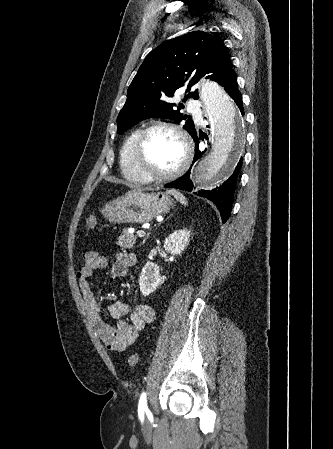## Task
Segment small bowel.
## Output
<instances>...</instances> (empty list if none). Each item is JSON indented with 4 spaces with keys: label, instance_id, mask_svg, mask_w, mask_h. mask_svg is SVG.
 I'll return each mask as SVG.
<instances>
[{
    "label": "small bowel",
    "instance_id": "small-bowel-1",
    "mask_svg": "<svg viewBox=\"0 0 333 449\" xmlns=\"http://www.w3.org/2000/svg\"><path fill=\"white\" fill-rule=\"evenodd\" d=\"M82 259L83 263L78 269L77 277L86 314L101 341L112 351H123L128 346L133 345L139 333L154 320V308L148 304H137L129 307L120 301H116L108 308L109 313L116 320L115 325L106 322L103 309L95 299L89 279L95 270L105 268L108 260L95 251L83 253ZM134 262V255L118 253L110 267L109 282L112 283L123 277L128 267L133 265Z\"/></svg>",
    "mask_w": 333,
    "mask_h": 449
}]
</instances>
